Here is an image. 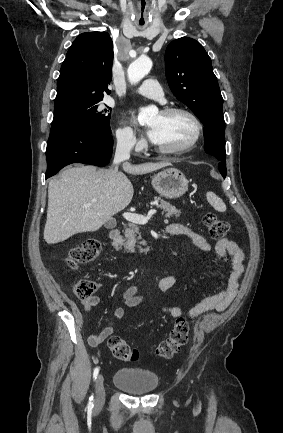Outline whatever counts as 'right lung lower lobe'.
<instances>
[{"instance_id":"1","label":"right lung lower lobe","mask_w":283,"mask_h":433,"mask_svg":"<svg viewBox=\"0 0 283 433\" xmlns=\"http://www.w3.org/2000/svg\"><path fill=\"white\" fill-rule=\"evenodd\" d=\"M113 150L111 134L84 126L51 128L47 142L46 179L71 163L105 166Z\"/></svg>"}]
</instances>
